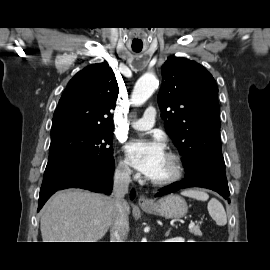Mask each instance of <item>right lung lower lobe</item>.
<instances>
[{
  "label": "right lung lower lobe",
  "instance_id": "98d812e1",
  "mask_svg": "<svg viewBox=\"0 0 270 270\" xmlns=\"http://www.w3.org/2000/svg\"><path fill=\"white\" fill-rule=\"evenodd\" d=\"M113 165L110 168L97 166L89 156H77L46 166L40 189L38 211L58 190L82 188L110 194L113 185ZM134 191L131 198H134Z\"/></svg>",
  "mask_w": 270,
  "mask_h": 270
}]
</instances>
